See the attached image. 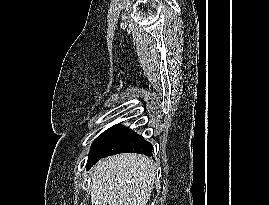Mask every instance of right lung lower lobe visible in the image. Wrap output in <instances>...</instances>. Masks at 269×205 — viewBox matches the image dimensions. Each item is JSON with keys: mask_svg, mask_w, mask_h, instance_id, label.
<instances>
[{"mask_svg": "<svg viewBox=\"0 0 269 205\" xmlns=\"http://www.w3.org/2000/svg\"><path fill=\"white\" fill-rule=\"evenodd\" d=\"M153 146L131 129L117 124L103 132L92 143L87 170L99 159L118 153H139L151 157Z\"/></svg>", "mask_w": 269, "mask_h": 205, "instance_id": "1", "label": "right lung lower lobe"}]
</instances>
